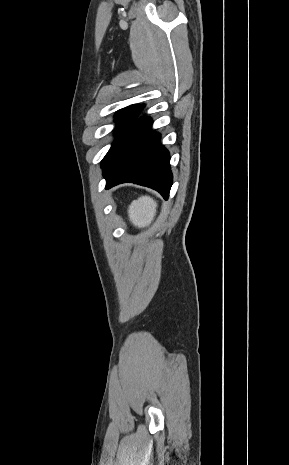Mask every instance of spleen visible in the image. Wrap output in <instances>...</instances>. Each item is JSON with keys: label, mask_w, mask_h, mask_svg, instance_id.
<instances>
[{"label": "spleen", "mask_w": 289, "mask_h": 465, "mask_svg": "<svg viewBox=\"0 0 289 465\" xmlns=\"http://www.w3.org/2000/svg\"><path fill=\"white\" fill-rule=\"evenodd\" d=\"M157 203L150 196H141L128 208V216L134 226L145 228L151 224L156 215Z\"/></svg>", "instance_id": "1"}]
</instances>
